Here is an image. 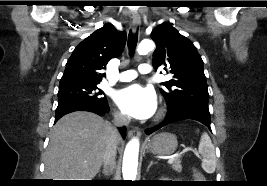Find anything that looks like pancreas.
<instances>
[{
  "instance_id": "cf45deb5",
  "label": "pancreas",
  "mask_w": 267,
  "mask_h": 186,
  "mask_svg": "<svg viewBox=\"0 0 267 186\" xmlns=\"http://www.w3.org/2000/svg\"><path fill=\"white\" fill-rule=\"evenodd\" d=\"M171 167L177 171L181 172L182 171V165H181V160L179 158H176L174 162L172 163Z\"/></svg>"
}]
</instances>
